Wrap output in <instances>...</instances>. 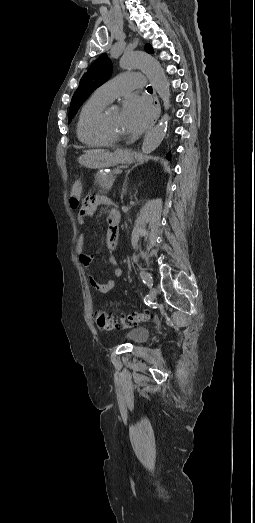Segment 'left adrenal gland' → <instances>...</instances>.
<instances>
[{"mask_svg": "<svg viewBox=\"0 0 255 523\" xmlns=\"http://www.w3.org/2000/svg\"><path fill=\"white\" fill-rule=\"evenodd\" d=\"M126 186H127V180H125V182L123 184V188H122V192H121V198H123L124 194H126Z\"/></svg>", "mask_w": 255, "mask_h": 523, "instance_id": "left-adrenal-gland-1", "label": "left adrenal gland"}]
</instances>
